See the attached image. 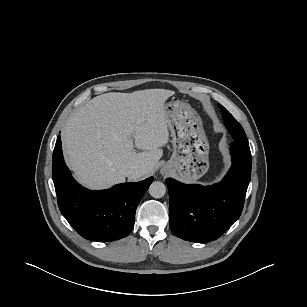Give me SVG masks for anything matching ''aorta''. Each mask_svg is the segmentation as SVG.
I'll return each mask as SVG.
<instances>
[{
  "instance_id": "762f6f07",
  "label": "aorta",
  "mask_w": 307,
  "mask_h": 307,
  "mask_svg": "<svg viewBox=\"0 0 307 307\" xmlns=\"http://www.w3.org/2000/svg\"><path fill=\"white\" fill-rule=\"evenodd\" d=\"M149 193L153 198H162L166 193V186L160 181H155L150 185Z\"/></svg>"
}]
</instances>
